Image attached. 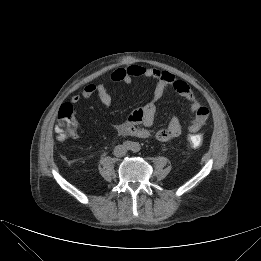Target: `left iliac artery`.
Wrapping results in <instances>:
<instances>
[{
  "instance_id": "obj_1",
  "label": "left iliac artery",
  "mask_w": 261,
  "mask_h": 261,
  "mask_svg": "<svg viewBox=\"0 0 261 261\" xmlns=\"http://www.w3.org/2000/svg\"><path fill=\"white\" fill-rule=\"evenodd\" d=\"M132 147H133L132 150H133L134 152H138V151L140 150V146H139V144H137V143H134Z\"/></svg>"
}]
</instances>
